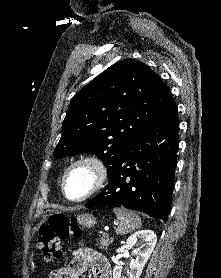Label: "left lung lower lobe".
I'll return each mask as SVG.
<instances>
[{
    "label": "left lung lower lobe",
    "instance_id": "0a47b994",
    "mask_svg": "<svg viewBox=\"0 0 221 278\" xmlns=\"http://www.w3.org/2000/svg\"><path fill=\"white\" fill-rule=\"evenodd\" d=\"M178 124L174 103L125 148L108 175V185L85 207H126L167 221L179 144Z\"/></svg>",
    "mask_w": 221,
    "mask_h": 278
}]
</instances>
